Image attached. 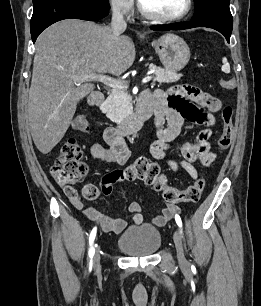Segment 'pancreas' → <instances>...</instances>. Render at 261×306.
Wrapping results in <instances>:
<instances>
[{"mask_svg":"<svg viewBox=\"0 0 261 306\" xmlns=\"http://www.w3.org/2000/svg\"><path fill=\"white\" fill-rule=\"evenodd\" d=\"M149 69L154 71V82L173 83L182 77V74H178L176 71L163 69L155 65H150ZM104 108L106 116L111 121L115 123L123 122L131 113V99L127 87L112 89L104 102Z\"/></svg>","mask_w":261,"mask_h":306,"instance_id":"cf45deb5","label":"pancreas"}]
</instances>
